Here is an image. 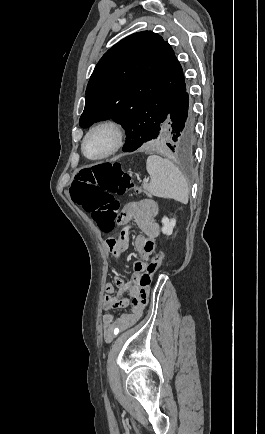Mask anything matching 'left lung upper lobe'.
Masks as SVG:
<instances>
[{
	"mask_svg": "<svg viewBox=\"0 0 265 434\" xmlns=\"http://www.w3.org/2000/svg\"><path fill=\"white\" fill-rule=\"evenodd\" d=\"M185 85L171 46L151 31L134 33L110 48L96 65L80 127L111 118L127 136L158 127Z\"/></svg>",
	"mask_w": 265,
	"mask_h": 434,
	"instance_id": "left-lung-upper-lobe-1",
	"label": "left lung upper lobe"
}]
</instances>
